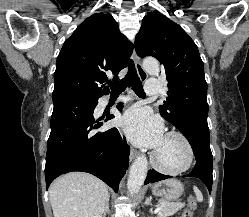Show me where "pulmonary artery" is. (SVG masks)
<instances>
[{
    "label": "pulmonary artery",
    "mask_w": 249,
    "mask_h": 217,
    "mask_svg": "<svg viewBox=\"0 0 249 217\" xmlns=\"http://www.w3.org/2000/svg\"><path fill=\"white\" fill-rule=\"evenodd\" d=\"M145 91L146 94L150 97H156L158 96L160 91V82L157 80H148L145 84ZM130 98H121L119 101L126 102L129 101Z\"/></svg>",
    "instance_id": "e3ab8cb5"
}]
</instances>
